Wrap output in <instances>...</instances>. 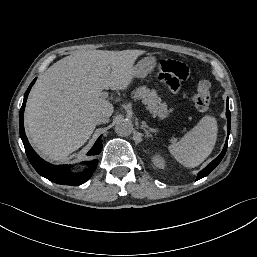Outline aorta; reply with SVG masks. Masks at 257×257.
<instances>
[{
	"label": "aorta",
	"mask_w": 257,
	"mask_h": 257,
	"mask_svg": "<svg viewBox=\"0 0 257 257\" xmlns=\"http://www.w3.org/2000/svg\"><path fill=\"white\" fill-rule=\"evenodd\" d=\"M133 130L132 122L128 119L120 120L115 126V132L119 136H129Z\"/></svg>",
	"instance_id": "762f6f07"
}]
</instances>
